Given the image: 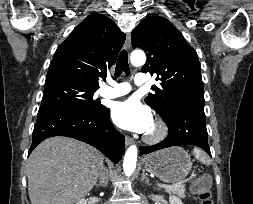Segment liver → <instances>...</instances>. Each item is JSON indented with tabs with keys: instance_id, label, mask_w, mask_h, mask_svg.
Wrapping results in <instances>:
<instances>
[{
	"instance_id": "1",
	"label": "liver",
	"mask_w": 253,
	"mask_h": 204,
	"mask_svg": "<svg viewBox=\"0 0 253 204\" xmlns=\"http://www.w3.org/2000/svg\"><path fill=\"white\" fill-rule=\"evenodd\" d=\"M104 156L86 143L63 136L44 140L27 162L31 204H73L95 185Z\"/></svg>"
}]
</instances>
